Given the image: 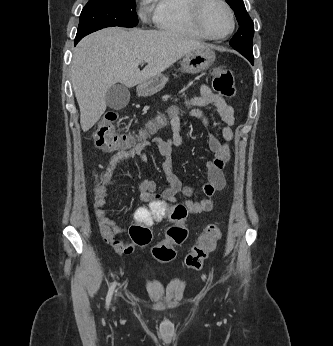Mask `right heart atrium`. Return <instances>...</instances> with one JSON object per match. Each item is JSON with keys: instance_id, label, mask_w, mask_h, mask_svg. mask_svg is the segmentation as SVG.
<instances>
[{"instance_id": "right-heart-atrium-1", "label": "right heart atrium", "mask_w": 333, "mask_h": 346, "mask_svg": "<svg viewBox=\"0 0 333 346\" xmlns=\"http://www.w3.org/2000/svg\"><path fill=\"white\" fill-rule=\"evenodd\" d=\"M151 2L152 0H140V15L143 19L146 18Z\"/></svg>"}]
</instances>
